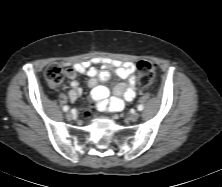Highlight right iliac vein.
Segmentation results:
<instances>
[{"instance_id":"obj_1","label":"right iliac vein","mask_w":222,"mask_h":187,"mask_svg":"<svg viewBox=\"0 0 222 187\" xmlns=\"http://www.w3.org/2000/svg\"><path fill=\"white\" fill-rule=\"evenodd\" d=\"M72 117H73V115H72L71 112H67V113H66V118H67V119L70 120V119H72Z\"/></svg>"}]
</instances>
